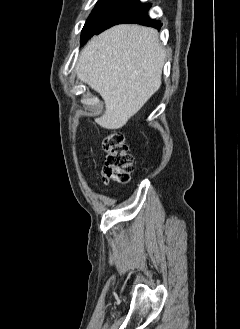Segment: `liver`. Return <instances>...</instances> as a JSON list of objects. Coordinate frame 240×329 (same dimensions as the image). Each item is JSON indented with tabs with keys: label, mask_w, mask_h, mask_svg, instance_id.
I'll use <instances>...</instances> for the list:
<instances>
[{
	"label": "liver",
	"mask_w": 240,
	"mask_h": 329,
	"mask_svg": "<svg viewBox=\"0 0 240 329\" xmlns=\"http://www.w3.org/2000/svg\"><path fill=\"white\" fill-rule=\"evenodd\" d=\"M164 62L165 51L152 28L122 24L94 36L75 72L105 102L96 122L105 129L123 127L159 89Z\"/></svg>",
	"instance_id": "6515ba94"
}]
</instances>
